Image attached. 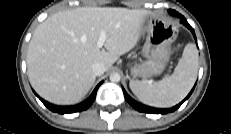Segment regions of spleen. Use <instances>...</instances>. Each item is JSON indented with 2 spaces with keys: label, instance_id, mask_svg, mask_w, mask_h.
I'll return each mask as SVG.
<instances>
[{
  "label": "spleen",
  "instance_id": "spleen-1",
  "mask_svg": "<svg viewBox=\"0 0 231 134\" xmlns=\"http://www.w3.org/2000/svg\"><path fill=\"white\" fill-rule=\"evenodd\" d=\"M198 71V51L193 43H188L171 76L161 81L148 83L130 81V89L143 103L165 108L179 103L193 87Z\"/></svg>",
  "mask_w": 231,
  "mask_h": 134
}]
</instances>
